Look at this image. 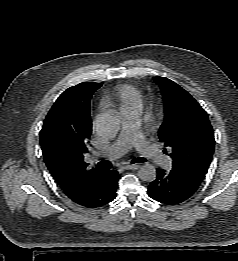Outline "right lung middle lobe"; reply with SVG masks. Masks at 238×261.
Masks as SVG:
<instances>
[{"mask_svg":"<svg viewBox=\"0 0 238 261\" xmlns=\"http://www.w3.org/2000/svg\"><path fill=\"white\" fill-rule=\"evenodd\" d=\"M70 112V106L66 99H58L49 111L46 119L51 121H59L64 119Z\"/></svg>","mask_w":238,"mask_h":261,"instance_id":"right-lung-middle-lobe-1","label":"right lung middle lobe"}]
</instances>
